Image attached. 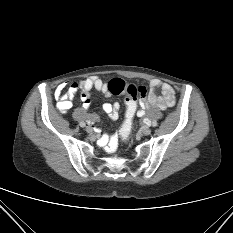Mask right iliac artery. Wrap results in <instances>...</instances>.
<instances>
[{"label": "right iliac artery", "mask_w": 233, "mask_h": 233, "mask_svg": "<svg viewBox=\"0 0 233 233\" xmlns=\"http://www.w3.org/2000/svg\"><path fill=\"white\" fill-rule=\"evenodd\" d=\"M85 125H86V124H85L84 122H80V126H81V127H85Z\"/></svg>", "instance_id": "obj_1"}]
</instances>
